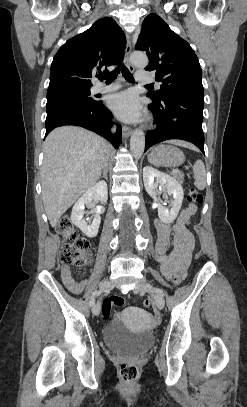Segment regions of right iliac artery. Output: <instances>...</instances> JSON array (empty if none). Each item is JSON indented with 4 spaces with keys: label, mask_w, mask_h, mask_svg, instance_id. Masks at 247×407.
I'll return each mask as SVG.
<instances>
[{
    "label": "right iliac artery",
    "mask_w": 247,
    "mask_h": 407,
    "mask_svg": "<svg viewBox=\"0 0 247 407\" xmlns=\"http://www.w3.org/2000/svg\"><path fill=\"white\" fill-rule=\"evenodd\" d=\"M101 290H95L94 292H93V294H92V296H91V299H90V306H94L95 305V298L97 297V296H99L100 294H101Z\"/></svg>",
    "instance_id": "82829eb1"
}]
</instances>
